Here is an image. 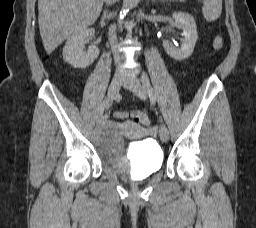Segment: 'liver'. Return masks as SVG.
<instances>
[{
	"label": "liver",
	"mask_w": 256,
	"mask_h": 228,
	"mask_svg": "<svg viewBox=\"0 0 256 228\" xmlns=\"http://www.w3.org/2000/svg\"><path fill=\"white\" fill-rule=\"evenodd\" d=\"M104 0H38V23L45 51L50 55L69 36L92 25Z\"/></svg>",
	"instance_id": "liver-1"
}]
</instances>
